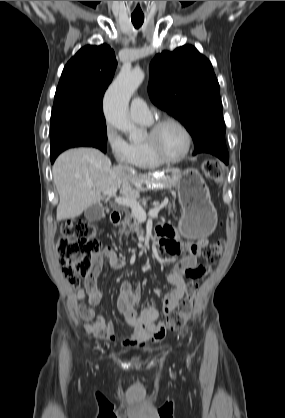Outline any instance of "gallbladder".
Here are the masks:
<instances>
[{
    "label": "gallbladder",
    "instance_id": "1",
    "mask_svg": "<svg viewBox=\"0 0 285 418\" xmlns=\"http://www.w3.org/2000/svg\"><path fill=\"white\" fill-rule=\"evenodd\" d=\"M84 216L88 221H99L105 217L104 208L101 204H94L84 211Z\"/></svg>",
    "mask_w": 285,
    "mask_h": 418
}]
</instances>
